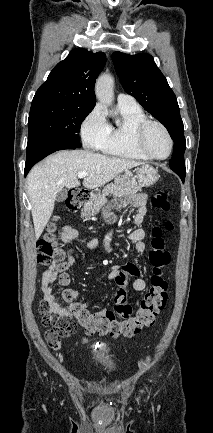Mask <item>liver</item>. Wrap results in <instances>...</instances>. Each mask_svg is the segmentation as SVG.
<instances>
[{
  "label": "liver",
  "mask_w": 213,
  "mask_h": 433,
  "mask_svg": "<svg viewBox=\"0 0 213 433\" xmlns=\"http://www.w3.org/2000/svg\"><path fill=\"white\" fill-rule=\"evenodd\" d=\"M139 165L140 162L87 150L59 151L36 164L27 176L36 240L41 236L53 213L58 192L64 187L74 188L80 185L78 173L87 172L83 186L87 189H96L123 171Z\"/></svg>",
  "instance_id": "1"
}]
</instances>
